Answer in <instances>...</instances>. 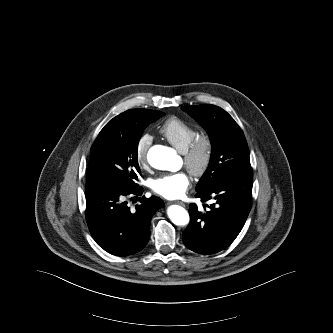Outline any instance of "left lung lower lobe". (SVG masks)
<instances>
[{
	"label": "left lung lower lobe",
	"mask_w": 333,
	"mask_h": 333,
	"mask_svg": "<svg viewBox=\"0 0 333 333\" xmlns=\"http://www.w3.org/2000/svg\"><path fill=\"white\" fill-rule=\"evenodd\" d=\"M252 173L235 175L202 191L196 197L215 204L206 212L190 204V223L183 232L187 248L200 254L217 253L228 247L243 228L251 209Z\"/></svg>",
	"instance_id": "0a47b994"
}]
</instances>
